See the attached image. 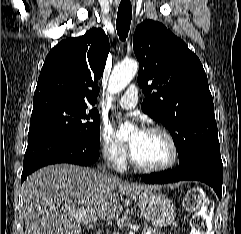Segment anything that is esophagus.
Here are the masks:
<instances>
[{
	"label": "esophagus",
	"mask_w": 241,
	"mask_h": 234,
	"mask_svg": "<svg viewBox=\"0 0 241 234\" xmlns=\"http://www.w3.org/2000/svg\"><path fill=\"white\" fill-rule=\"evenodd\" d=\"M131 1V3L133 4V5H135V2H134V0H130Z\"/></svg>",
	"instance_id": "esophagus-1"
}]
</instances>
